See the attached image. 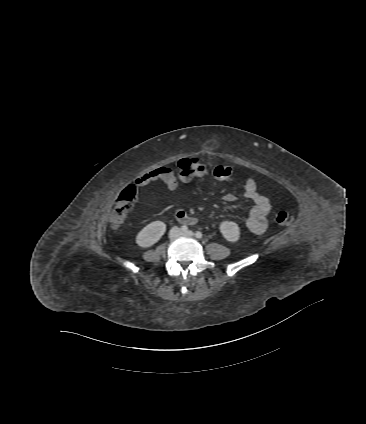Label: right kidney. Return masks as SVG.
<instances>
[{
    "label": "right kidney",
    "mask_w": 366,
    "mask_h": 424,
    "mask_svg": "<svg viewBox=\"0 0 366 424\" xmlns=\"http://www.w3.org/2000/svg\"><path fill=\"white\" fill-rule=\"evenodd\" d=\"M166 231V225L162 221H154L145 226L136 236L139 247L147 248L160 240Z\"/></svg>",
    "instance_id": "1"
}]
</instances>
